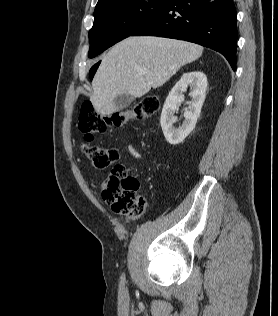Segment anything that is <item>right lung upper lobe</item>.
I'll return each instance as SVG.
<instances>
[{"label":"right lung upper lobe","mask_w":278,"mask_h":316,"mask_svg":"<svg viewBox=\"0 0 278 316\" xmlns=\"http://www.w3.org/2000/svg\"><path fill=\"white\" fill-rule=\"evenodd\" d=\"M104 1H106V0H98L97 5L100 4V3H102V2H104Z\"/></svg>","instance_id":"obj_1"}]
</instances>
